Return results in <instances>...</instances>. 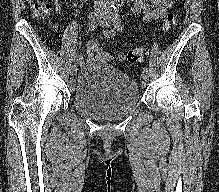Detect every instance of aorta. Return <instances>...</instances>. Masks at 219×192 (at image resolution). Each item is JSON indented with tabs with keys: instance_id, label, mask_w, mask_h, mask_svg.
Wrapping results in <instances>:
<instances>
[{
	"instance_id": "762f6f07",
	"label": "aorta",
	"mask_w": 219,
	"mask_h": 192,
	"mask_svg": "<svg viewBox=\"0 0 219 192\" xmlns=\"http://www.w3.org/2000/svg\"><path fill=\"white\" fill-rule=\"evenodd\" d=\"M121 0H110L112 5H116L118 3H120Z\"/></svg>"
}]
</instances>
